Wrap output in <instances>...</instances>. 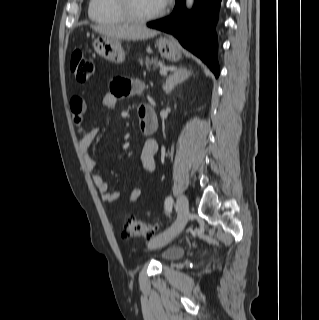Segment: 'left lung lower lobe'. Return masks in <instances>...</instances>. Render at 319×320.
<instances>
[{"label": "left lung lower lobe", "mask_w": 319, "mask_h": 320, "mask_svg": "<svg viewBox=\"0 0 319 320\" xmlns=\"http://www.w3.org/2000/svg\"><path fill=\"white\" fill-rule=\"evenodd\" d=\"M185 0H176L169 17L149 22L147 26L174 35L183 47L200 57L219 76L215 24L221 0H196L187 11Z\"/></svg>", "instance_id": "1"}]
</instances>
